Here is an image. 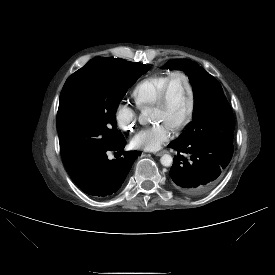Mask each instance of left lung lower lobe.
<instances>
[{
    "mask_svg": "<svg viewBox=\"0 0 275 275\" xmlns=\"http://www.w3.org/2000/svg\"><path fill=\"white\" fill-rule=\"evenodd\" d=\"M169 147L178 152L170 169L173 186L188 195L209 191L233 155V143L225 140L172 141Z\"/></svg>",
    "mask_w": 275,
    "mask_h": 275,
    "instance_id": "1",
    "label": "left lung lower lobe"
}]
</instances>
